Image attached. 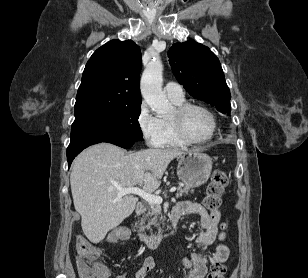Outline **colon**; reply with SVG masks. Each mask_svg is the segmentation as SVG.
I'll return each mask as SVG.
<instances>
[{
  "label": "colon",
  "mask_w": 308,
  "mask_h": 278,
  "mask_svg": "<svg viewBox=\"0 0 308 278\" xmlns=\"http://www.w3.org/2000/svg\"><path fill=\"white\" fill-rule=\"evenodd\" d=\"M229 184V175L224 170H215L206 190L204 205L211 212L217 211L221 205V197ZM129 226H114L109 240L125 242L130 237ZM76 252L78 256V269L80 278H97L99 274L98 262L100 249L84 236L76 239ZM226 267L223 263L216 262L211 265L207 278H224Z\"/></svg>",
  "instance_id": "colon-1"
}]
</instances>
